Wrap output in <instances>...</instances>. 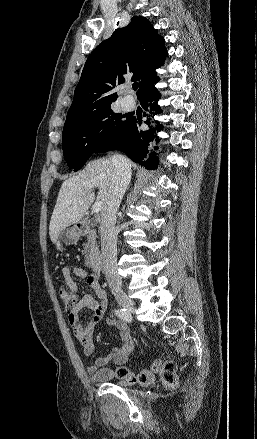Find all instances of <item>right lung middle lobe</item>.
I'll return each instance as SVG.
<instances>
[{
    "mask_svg": "<svg viewBox=\"0 0 257 439\" xmlns=\"http://www.w3.org/2000/svg\"><path fill=\"white\" fill-rule=\"evenodd\" d=\"M105 107L64 124L62 147L70 169H81L87 159L102 145L116 138L129 121Z\"/></svg>",
    "mask_w": 257,
    "mask_h": 439,
    "instance_id": "dd1d6c3e",
    "label": "right lung middle lobe"
}]
</instances>
